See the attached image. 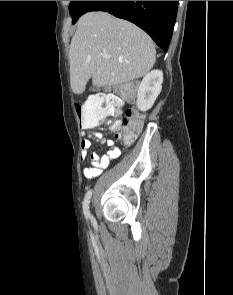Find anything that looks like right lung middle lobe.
<instances>
[{
    "label": "right lung middle lobe",
    "mask_w": 233,
    "mask_h": 295,
    "mask_svg": "<svg viewBox=\"0 0 233 295\" xmlns=\"http://www.w3.org/2000/svg\"><path fill=\"white\" fill-rule=\"evenodd\" d=\"M86 2L87 1H71L69 5V11L73 19V24H75L82 15V10Z\"/></svg>",
    "instance_id": "right-lung-middle-lobe-1"
}]
</instances>
